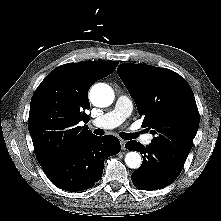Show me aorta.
I'll return each instance as SVG.
<instances>
[{
  "label": "aorta",
  "instance_id": "obj_1",
  "mask_svg": "<svg viewBox=\"0 0 221 221\" xmlns=\"http://www.w3.org/2000/svg\"><path fill=\"white\" fill-rule=\"evenodd\" d=\"M89 97L94 106L107 107L113 103L114 92L109 85L98 83L92 86ZM125 163L131 169H138L142 164L141 155L136 151H130L125 156Z\"/></svg>",
  "mask_w": 221,
  "mask_h": 221
}]
</instances>
